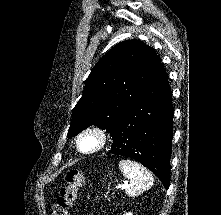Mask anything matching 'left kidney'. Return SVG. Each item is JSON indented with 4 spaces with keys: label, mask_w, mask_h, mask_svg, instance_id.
Masks as SVG:
<instances>
[{
    "label": "left kidney",
    "mask_w": 221,
    "mask_h": 215,
    "mask_svg": "<svg viewBox=\"0 0 221 215\" xmlns=\"http://www.w3.org/2000/svg\"><path fill=\"white\" fill-rule=\"evenodd\" d=\"M124 215H133L131 212L125 213Z\"/></svg>",
    "instance_id": "1"
}]
</instances>
